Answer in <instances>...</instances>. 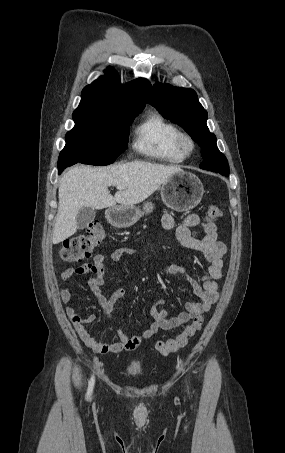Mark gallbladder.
<instances>
[{"instance_id": "obj_1", "label": "gallbladder", "mask_w": 285, "mask_h": 453, "mask_svg": "<svg viewBox=\"0 0 285 453\" xmlns=\"http://www.w3.org/2000/svg\"><path fill=\"white\" fill-rule=\"evenodd\" d=\"M96 216V211L92 207H82L77 215L76 222L79 229L86 228Z\"/></svg>"}]
</instances>
